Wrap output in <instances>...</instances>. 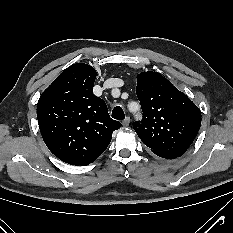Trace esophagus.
Masks as SVG:
<instances>
[{
  "mask_svg": "<svg viewBox=\"0 0 233 233\" xmlns=\"http://www.w3.org/2000/svg\"><path fill=\"white\" fill-rule=\"evenodd\" d=\"M129 124H130V117H126V118L122 121V125H123L124 127H127V126H129Z\"/></svg>",
  "mask_w": 233,
  "mask_h": 233,
  "instance_id": "esophagus-1",
  "label": "esophagus"
}]
</instances>
